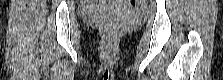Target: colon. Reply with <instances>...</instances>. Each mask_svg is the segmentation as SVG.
Listing matches in <instances>:
<instances>
[{
  "label": "colon",
  "instance_id": "5ec220e1",
  "mask_svg": "<svg viewBox=\"0 0 223 80\" xmlns=\"http://www.w3.org/2000/svg\"><path fill=\"white\" fill-rule=\"evenodd\" d=\"M128 2L132 7H135V8H140L144 4V0H129ZM115 34H116L115 30L111 28L104 29V36L107 39H112L115 36Z\"/></svg>",
  "mask_w": 223,
  "mask_h": 80
}]
</instances>
